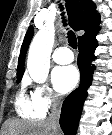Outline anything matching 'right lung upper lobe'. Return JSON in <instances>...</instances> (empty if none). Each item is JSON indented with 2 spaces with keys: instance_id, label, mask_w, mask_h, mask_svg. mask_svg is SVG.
Returning a JSON list of instances; mask_svg holds the SVG:
<instances>
[{
  "instance_id": "cb5924a9",
  "label": "right lung upper lobe",
  "mask_w": 112,
  "mask_h": 135,
  "mask_svg": "<svg viewBox=\"0 0 112 135\" xmlns=\"http://www.w3.org/2000/svg\"><path fill=\"white\" fill-rule=\"evenodd\" d=\"M67 13L71 27L75 31H85L78 37L79 42L97 35L100 30V15L96 11V6L92 0H65ZM34 30L30 26L25 35L21 52L18 59L17 78H21L24 74L25 56L32 39Z\"/></svg>"
}]
</instances>
